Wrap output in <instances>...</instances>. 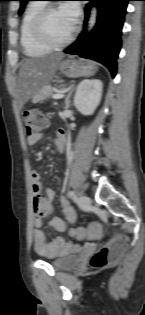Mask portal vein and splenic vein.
I'll return each mask as SVG.
<instances>
[{"instance_id": "1", "label": "portal vein and splenic vein", "mask_w": 145, "mask_h": 315, "mask_svg": "<svg viewBox=\"0 0 145 315\" xmlns=\"http://www.w3.org/2000/svg\"><path fill=\"white\" fill-rule=\"evenodd\" d=\"M64 97V94L63 93H57V94H54L52 95V98L53 99H61Z\"/></svg>"}]
</instances>
